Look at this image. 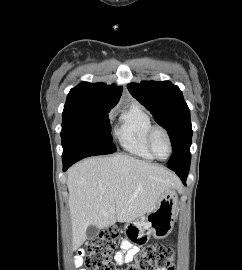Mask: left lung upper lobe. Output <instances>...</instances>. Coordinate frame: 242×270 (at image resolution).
Wrapping results in <instances>:
<instances>
[{
    "mask_svg": "<svg viewBox=\"0 0 242 270\" xmlns=\"http://www.w3.org/2000/svg\"><path fill=\"white\" fill-rule=\"evenodd\" d=\"M128 90L163 126L171 139L172 156L167 164L174 171H189L192 129L190 110L181 90L169 81L131 83Z\"/></svg>",
    "mask_w": 242,
    "mask_h": 270,
    "instance_id": "1",
    "label": "left lung upper lobe"
}]
</instances>
